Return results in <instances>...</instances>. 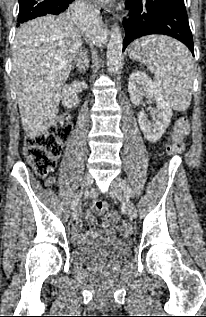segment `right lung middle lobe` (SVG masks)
Returning a JSON list of instances; mask_svg holds the SVG:
<instances>
[{"label":"right lung middle lobe","instance_id":"obj_1","mask_svg":"<svg viewBox=\"0 0 206 317\" xmlns=\"http://www.w3.org/2000/svg\"><path fill=\"white\" fill-rule=\"evenodd\" d=\"M58 0H19L18 24L47 14L58 15ZM71 4V3H70Z\"/></svg>","mask_w":206,"mask_h":317}]
</instances>
